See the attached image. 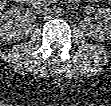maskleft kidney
I'll use <instances>...</instances> for the list:
<instances>
[{
    "label": "left kidney",
    "mask_w": 111,
    "mask_h": 106,
    "mask_svg": "<svg viewBox=\"0 0 111 106\" xmlns=\"http://www.w3.org/2000/svg\"><path fill=\"white\" fill-rule=\"evenodd\" d=\"M99 24H93L89 19H85L83 28L91 39L105 40L111 38V10L100 8L97 10Z\"/></svg>",
    "instance_id": "5707ae66"
}]
</instances>
